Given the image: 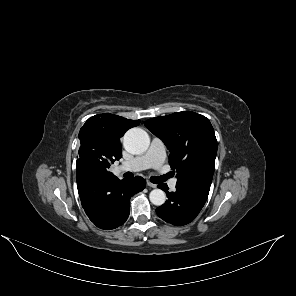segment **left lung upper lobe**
Wrapping results in <instances>:
<instances>
[{
	"label": "left lung upper lobe",
	"instance_id": "obj_1",
	"mask_svg": "<svg viewBox=\"0 0 296 296\" xmlns=\"http://www.w3.org/2000/svg\"><path fill=\"white\" fill-rule=\"evenodd\" d=\"M144 124L170 150L169 164L177 172L176 186L210 188L217 140L205 116L184 111L155 117Z\"/></svg>",
	"mask_w": 296,
	"mask_h": 296
}]
</instances>
